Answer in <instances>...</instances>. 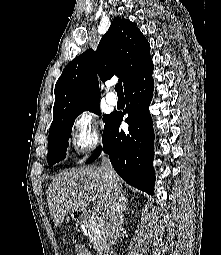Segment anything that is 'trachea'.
I'll list each match as a JSON object with an SVG mask.
<instances>
[{"mask_svg": "<svg viewBox=\"0 0 221 255\" xmlns=\"http://www.w3.org/2000/svg\"><path fill=\"white\" fill-rule=\"evenodd\" d=\"M115 91L118 93V94H122L123 93V87H122V84L121 83H118L115 85Z\"/></svg>", "mask_w": 221, "mask_h": 255, "instance_id": "3493384b", "label": "trachea"}]
</instances>
